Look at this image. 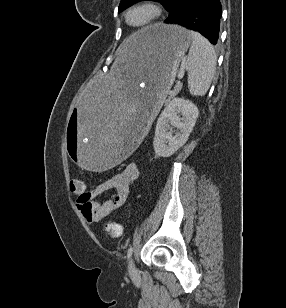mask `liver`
<instances>
[{
    "label": "liver",
    "instance_id": "obj_1",
    "mask_svg": "<svg viewBox=\"0 0 286 308\" xmlns=\"http://www.w3.org/2000/svg\"><path fill=\"white\" fill-rule=\"evenodd\" d=\"M140 43V37L137 33L132 34L130 37L125 39L123 43L120 45L117 51V60L115 65L122 61L127 60L130 61L135 57L136 50Z\"/></svg>",
    "mask_w": 286,
    "mask_h": 308
}]
</instances>
